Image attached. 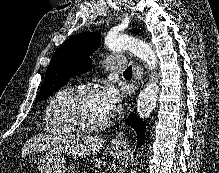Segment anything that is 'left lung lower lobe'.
<instances>
[{"label":"left lung lower lobe","mask_w":219,"mask_h":173,"mask_svg":"<svg viewBox=\"0 0 219 173\" xmlns=\"http://www.w3.org/2000/svg\"><path fill=\"white\" fill-rule=\"evenodd\" d=\"M126 122L134 127V129L137 132L138 135V141H137V145L138 147H140L142 145V143L145 141V123L143 122L142 119L136 117L135 115H130L128 117V119L126 120Z\"/></svg>","instance_id":"0a47b994"}]
</instances>
